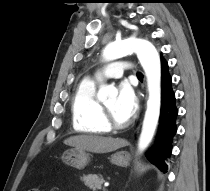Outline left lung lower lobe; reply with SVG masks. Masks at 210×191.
<instances>
[{
	"label": "left lung lower lobe",
	"mask_w": 210,
	"mask_h": 191,
	"mask_svg": "<svg viewBox=\"0 0 210 191\" xmlns=\"http://www.w3.org/2000/svg\"><path fill=\"white\" fill-rule=\"evenodd\" d=\"M172 78L168 72L167 62L161 58V113L159 133L155 147L147 154L148 160L162 172H167L166 160L171 155L172 139L176 134V117L178 110L175 104V93L172 90Z\"/></svg>",
	"instance_id": "1"
}]
</instances>
